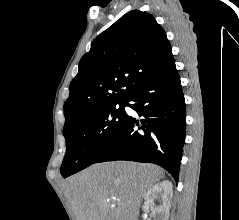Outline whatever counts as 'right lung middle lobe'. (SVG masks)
Returning <instances> with one entry per match:
<instances>
[{"label":"right lung middle lobe","instance_id":"right-lung-middle-lobe-1","mask_svg":"<svg viewBox=\"0 0 239 220\" xmlns=\"http://www.w3.org/2000/svg\"><path fill=\"white\" fill-rule=\"evenodd\" d=\"M124 106L121 102L101 107L63 130L66 154L60 171L64 178L94 163L122 127L127 116Z\"/></svg>","mask_w":239,"mask_h":220}]
</instances>
